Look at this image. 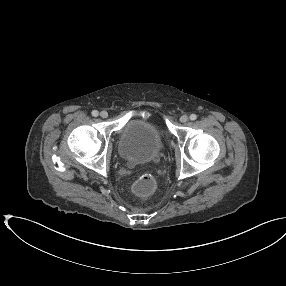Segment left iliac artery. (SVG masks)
Here are the masks:
<instances>
[{
	"mask_svg": "<svg viewBox=\"0 0 286 286\" xmlns=\"http://www.w3.org/2000/svg\"><path fill=\"white\" fill-rule=\"evenodd\" d=\"M196 118H197V115H196V114H191V115H190V119H191L192 121L196 120Z\"/></svg>",
	"mask_w": 286,
	"mask_h": 286,
	"instance_id": "left-iliac-artery-1",
	"label": "left iliac artery"
}]
</instances>
